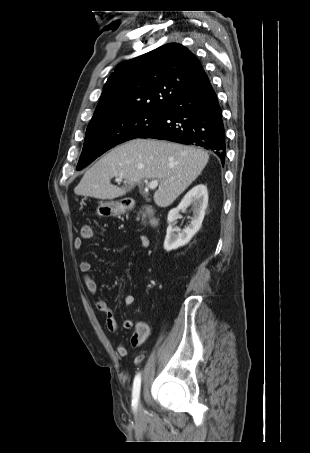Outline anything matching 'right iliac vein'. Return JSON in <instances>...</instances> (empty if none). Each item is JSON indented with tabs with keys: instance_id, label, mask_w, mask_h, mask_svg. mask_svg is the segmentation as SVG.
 <instances>
[{
	"instance_id": "obj_1",
	"label": "right iliac vein",
	"mask_w": 310,
	"mask_h": 453,
	"mask_svg": "<svg viewBox=\"0 0 310 453\" xmlns=\"http://www.w3.org/2000/svg\"><path fill=\"white\" fill-rule=\"evenodd\" d=\"M141 411H142L141 407H138L137 414H139Z\"/></svg>"
}]
</instances>
